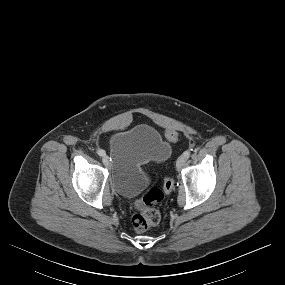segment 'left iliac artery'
Segmentation results:
<instances>
[{
	"label": "left iliac artery",
	"instance_id": "1",
	"mask_svg": "<svg viewBox=\"0 0 285 285\" xmlns=\"http://www.w3.org/2000/svg\"><path fill=\"white\" fill-rule=\"evenodd\" d=\"M190 154H191V152H190L189 150H187V151H185V152L183 153V156H184L185 158H189Z\"/></svg>",
	"mask_w": 285,
	"mask_h": 285
}]
</instances>
